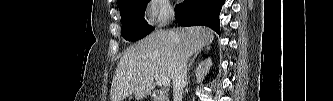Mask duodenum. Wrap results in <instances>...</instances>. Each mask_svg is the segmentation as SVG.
I'll use <instances>...</instances> for the list:
<instances>
[{
    "mask_svg": "<svg viewBox=\"0 0 333 101\" xmlns=\"http://www.w3.org/2000/svg\"><path fill=\"white\" fill-rule=\"evenodd\" d=\"M152 98L155 101H167V97L164 92L162 91H155L152 93Z\"/></svg>",
    "mask_w": 333,
    "mask_h": 101,
    "instance_id": "1",
    "label": "duodenum"
}]
</instances>
